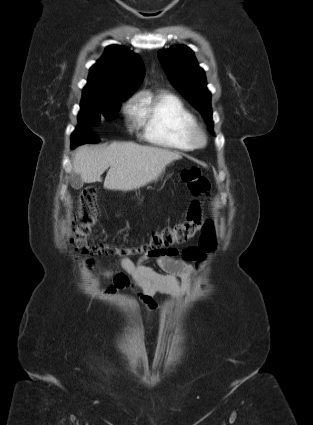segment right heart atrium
<instances>
[{
	"instance_id": "d8ad5b80",
	"label": "right heart atrium",
	"mask_w": 313,
	"mask_h": 425,
	"mask_svg": "<svg viewBox=\"0 0 313 425\" xmlns=\"http://www.w3.org/2000/svg\"><path fill=\"white\" fill-rule=\"evenodd\" d=\"M128 110H129V111H134L133 106H132V105H129V106H128Z\"/></svg>"
}]
</instances>
